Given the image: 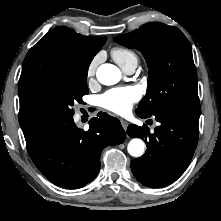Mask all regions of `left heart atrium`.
<instances>
[{"mask_svg": "<svg viewBox=\"0 0 221 221\" xmlns=\"http://www.w3.org/2000/svg\"><path fill=\"white\" fill-rule=\"evenodd\" d=\"M139 98L138 89L133 86H127L107 91L101 95L99 101L103 108L117 114H125Z\"/></svg>", "mask_w": 221, "mask_h": 221, "instance_id": "left-heart-atrium-1", "label": "left heart atrium"}]
</instances>
